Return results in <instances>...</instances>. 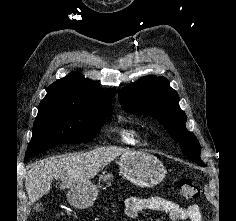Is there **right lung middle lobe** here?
Segmentation results:
<instances>
[{
	"mask_svg": "<svg viewBox=\"0 0 236 221\" xmlns=\"http://www.w3.org/2000/svg\"><path fill=\"white\" fill-rule=\"evenodd\" d=\"M25 159L63 143H86L96 135L112 110L111 105H39Z\"/></svg>",
	"mask_w": 236,
	"mask_h": 221,
	"instance_id": "1",
	"label": "right lung middle lobe"
}]
</instances>
